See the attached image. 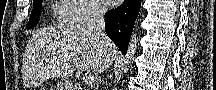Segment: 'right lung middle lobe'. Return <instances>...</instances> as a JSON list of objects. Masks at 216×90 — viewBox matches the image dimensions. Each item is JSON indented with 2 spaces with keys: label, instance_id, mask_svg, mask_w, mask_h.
<instances>
[{
  "label": "right lung middle lobe",
  "instance_id": "obj_1",
  "mask_svg": "<svg viewBox=\"0 0 216 90\" xmlns=\"http://www.w3.org/2000/svg\"><path fill=\"white\" fill-rule=\"evenodd\" d=\"M41 3H42V0H33V9L31 12L29 22L26 25L27 29H32L39 22Z\"/></svg>",
  "mask_w": 216,
  "mask_h": 90
}]
</instances>
